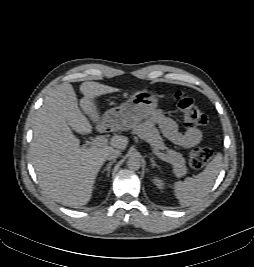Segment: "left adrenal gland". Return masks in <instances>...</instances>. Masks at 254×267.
Masks as SVG:
<instances>
[{"instance_id":"left-adrenal-gland-1","label":"left adrenal gland","mask_w":254,"mask_h":267,"mask_svg":"<svg viewBox=\"0 0 254 267\" xmlns=\"http://www.w3.org/2000/svg\"><path fill=\"white\" fill-rule=\"evenodd\" d=\"M150 162H151V166L154 168V167H159L157 164H156V162H155V160L153 159V158H150Z\"/></svg>"}]
</instances>
